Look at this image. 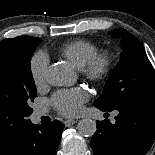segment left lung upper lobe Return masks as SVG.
Masks as SVG:
<instances>
[{
	"label": "left lung upper lobe",
	"instance_id": "obj_1",
	"mask_svg": "<svg viewBox=\"0 0 155 155\" xmlns=\"http://www.w3.org/2000/svg\"><path fill=\"white\" fill-rule=\"evenodd\" d=\"M122 37L120 61L112 71L103 94L94 105L108 111L139 97L155 95V72L138 39L125 29L109 32Z\"/></svg>",
	"mask_w": 155,
	"mask_h": 155
}]
</instances>
